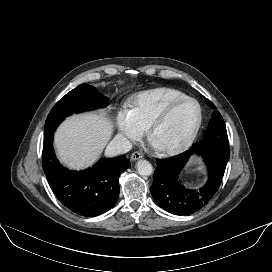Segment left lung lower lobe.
Wrapping results in <instances>:
<instances>
[{
    "instance_id": "1",
    "label": "left lung lower lobe",
    "mask_w": 272,
    "mask_h": 272,
    "mask_svg": "<svg viewBox=\"0 0 272 272\" xmlns=\"http://www.w3.org/2000/svg\"><path fill=\"white\" fill-rule=\"evenodd\" d=\"M193 153L203 156L209 171L207 183L199 190L184 187L178 179L181 169ZM229 156L230 150L228 147L200 141L177 156L163 160L158 159L154 181L150 187L153 198L161 208L175 215L197 212L217 192Z\"/></svg>"
}]
</instances>
